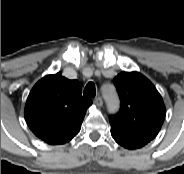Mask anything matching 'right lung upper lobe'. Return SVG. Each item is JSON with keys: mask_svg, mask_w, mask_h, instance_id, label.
I'll return each instance as SVG.
<instances>
[{"mask_svg": "<svg viewBox=\"0 0 184 174\" xmlns=\"http://www.w3.org/2000/svg\"><path fill=\"white\" fill-rule=\"evenodd\" d=\"M91 99L81 95V84L60 72L47 75L32 88L25 119L32 132L51 145L70 141L80 130Z\"/></svg>", "mask_w": 184, "mask_h": 174, "instance_id": "right-lung-upper-lobe-1", "label": "right lung upper lobe"}]
</instances>
